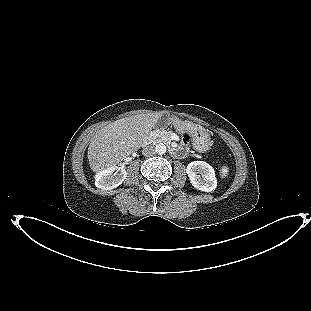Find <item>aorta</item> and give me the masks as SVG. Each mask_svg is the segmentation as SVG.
I'll return each instance as SVG.
<instances>
[{"instance_id": "762f6f07", "label": "aorta", "mask_w": 311, "mask_h": 311, "mask_svg": "<svg viewBox=\"0 0 311 311\" xmlns=\"http://www.w3.org/2000/svg\"><path fill=\"white\" fill-rule=\"evenodd\" d=\"M155 152L159 155H163L166 153V146L163 143H159L155 147Z\"/></svg>"}]
</instances>
